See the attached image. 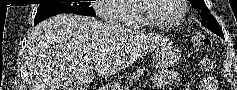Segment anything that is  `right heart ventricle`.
Here are the masks:
<instances>
[{
  "mask_svg": "<svg viewBox=\"0 0 237 90\" xmlns=\"http://www.w3.org/2000/svg\"><path fill=\"white\" fill-rule=\"evenodd\" d=\"M124 2H119V4H111V8L108 9V13H112L114 16L115 24L112 28H148L146 24L140 20L137 16L135 7L139 0H123Z\"/></svg>",
  "mask_w": 237,
  "mask_h": 90,
  "instance_id": "obj_1",
  "label": "right heart ventricle"
}]
</instances>
